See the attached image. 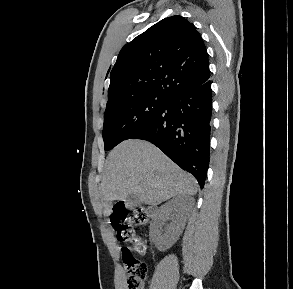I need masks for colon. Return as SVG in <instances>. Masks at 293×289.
Here are the masks:
<instances>
[{
    "instance_id": "1",
    "label": "colon",
    "mask_w": 293,
    "mask_h": 289,
    "mask_svg": "<svg viewBox=\"0 0 293 289\" xmlns=\"http://www.w3.org/2000/svg\"><path fill=\"white\" fill-rule=\"evenodd\" d=\"M149 214L144 207H135L131 210L121 208L111 217V224L120 242L131 243L133 249L123 247L122 258L126 267L127 289H143L147 276V265L134 256V251L140 254L146 252V243L134 233L133 226H143L148 222Z\"/></svg>"
}]
</instances>
